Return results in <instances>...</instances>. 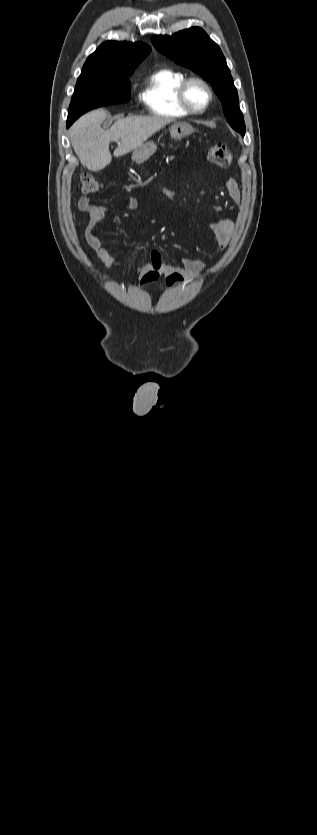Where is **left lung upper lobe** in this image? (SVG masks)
I'll use <instances>...</instances> for the list:
<instances>
[{
  "label": "left lung upper lobe",
  "mask_w": 317,
  "mask_h": 835,
  "mask_svg": "<svg viewBox=\"0 0 317 835\" xmlns=\"http://www.w3.org/2000/svg\"><path fill=\"white\" fill-rule=\"evenodd\" d=\"M151 41L159 52L190 68L212 84L221 100L228 123L244 135V118L230 70L219 46L206 32L199 27H191L172 36H153Z\"/></svg>",
  "instance_id": "left-lung-upper-lobe-1"
}]
</instances>
